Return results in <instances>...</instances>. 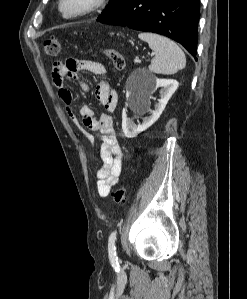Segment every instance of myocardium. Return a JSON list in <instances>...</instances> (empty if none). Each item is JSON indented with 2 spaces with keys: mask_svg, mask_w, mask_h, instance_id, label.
I'll use <instances>...</instances> for the list:
<instances>
[{
  "mask_svg": "<svg viewBox=\"0 0 247 299\" xmlns=\"http://www.w3.org/2000/svg\"><path fill=\"white\" fill-rule=\"evenodd\" d=\"M69 2L70 0H58L57 11L64 19L72 20L97 11L104 6L106 0H80L79 6L71 11L66 9Z\"/></svg>",
  "mask_w": 247,
  "mask_h": 299,
  "instance_id": "myocardium-1",
  "label": "myocardium"
}]
</instances>
